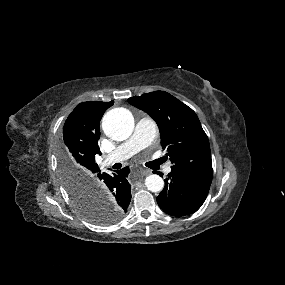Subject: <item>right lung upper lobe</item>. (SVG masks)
I'll return each mask as SVG.
<instances>
[{
    "mask_svg": "<svg viewBox=\"0 0 285 285\" xmlns=\"http://www.w3.org/2000/svg\"><path fill=\"white\" fill-rule=\"evenodd\" d=\"M113 101H88L77 105L68 116L64 128L62 148L71 163L86 179H91L99 167L95 155L100 154V120Z\"/></svg>",
    "mask_w": 285,
    "mask_h": 285,
    "instance_id": "obj_1",
    "label": "right lung upper lobe"
}]
</instances>
